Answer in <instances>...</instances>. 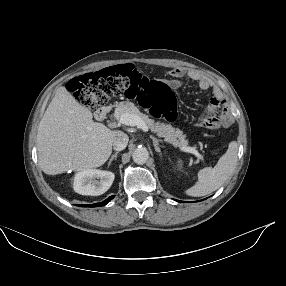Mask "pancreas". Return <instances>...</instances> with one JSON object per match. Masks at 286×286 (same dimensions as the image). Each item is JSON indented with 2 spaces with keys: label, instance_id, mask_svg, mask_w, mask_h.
I'll return each instance as SVG.
<instances>
[{
  "label": "pancreas",
  "instance_id": "1",
  "mask_svg": "<svg viewBox=\"0 0 286 286\" xmlns=\"http://www.w3.org/2000/svg\"><path fill=\"white\" fill-rule=\"evenodd\" d=\"M124 113L138 116L154 133L160 137H163L166 142L173 144L175 147H187L188 142L180 129H175L170 124L155 122L146 114L140 112V110L132 102L126 101L116 105L114 115L116 117H120V115Z\"/></svg>",
  "mask_w": 286,
  "mask_h": 286
}]
</instances>
